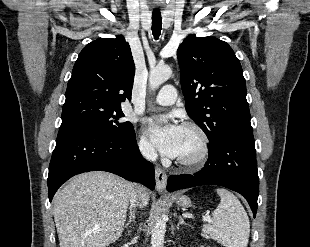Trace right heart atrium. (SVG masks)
Listing matches in <instances>:
<instances>
[{"mask_svg":"<svg viewBox=\"0 0 310 247\" xmlns=\"http://www.w3.org/2000/svg\"><path fill=\"white\" fill-rule=\"evenodd\" d=\"M138 149L141 155L147 159H152L156 155L151 141L144 134H141L138 139Z\"/></svg>","mask_w":310,"mask_h":247,"instance_id":"1","label":"right heart atrium"}]
</instances>
